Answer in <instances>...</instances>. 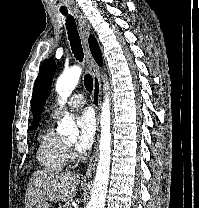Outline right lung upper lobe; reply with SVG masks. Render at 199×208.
Masks as SVG:
<instances>
[{"instance_id": "right-lung-upper-lobe-1", "label": "right lung upper lobe", "mask_w": 199, "mask_h": 208, "mask_svg": "<svg viewBox=\"0 0 199 208\" xmlns=\"http://www.w3.org/2000/svg\"><path fill=\"white\" fill-rule=\"evenodd\" d=\"M89 47H90L91 53H92L95 61L98 63L99 66H102L103 60H102V56H101V51H100V48H99L94 36L89 37Z\"/></svg>"}]
</instances>
